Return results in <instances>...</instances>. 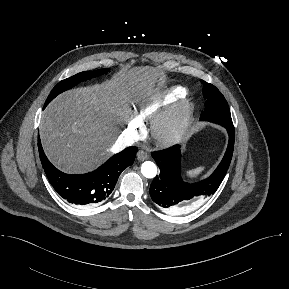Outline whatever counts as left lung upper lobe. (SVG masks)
Listing matches in <instances>:
<instances>
[{"label": "left lung upper lobe", "instance_id": "obj_1", "mask_svg": "<svg viewBox=\"0 0 289 289\" xmlns=\"http://www.w3.org/2000/svg\"><path fill=\"white\" fill-rule=\"evenodd\" d=\"M204 84L203 95L207 99L201 120L218 123L222 126L233 125L228 103L220 91L212 84Z\"/></svg>", "mask_w": 289, "mask_h": 289}]
</instances>
